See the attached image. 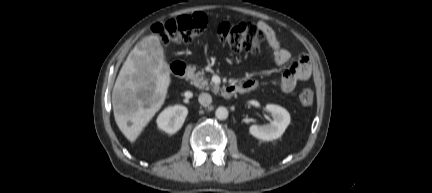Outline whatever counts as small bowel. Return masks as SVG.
<instances>
[{
    "instance_id": "obj_1",
    "label": "small bowel",
    "mask_w": 432,
    "mask_h": 193,
    "mask_svg": "<svg viewBox=\"0 0 432 193\" xmlns=\"http://www.w3.org/2000/svg\"><path fill=\"white\" fill-rule=\"evenodd\" d=\"M257 28L264 34L277 65L289 64L279 80V86L285 93L292 92L298 83L307 81L311 76V64L306 55L293 61L292 52L282 47L273 28L264 21L257 23ZM240 92H249L257 87V81L249 79L239 85Z\"/></svg>"
}]
</instances>
